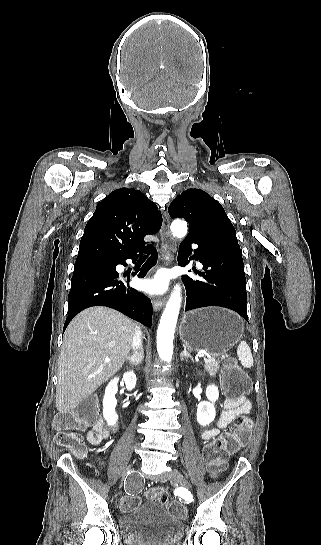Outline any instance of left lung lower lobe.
Listing matches in <instances>:
<instances>
[{"instance_id":"left-lung-lower-lobe-1","label":"left lung lower lobe","mask_w":321,"mask_h":545,"mask_svg":"<svg viewBox=\"0 0 321 545\" xmlns=\"http://www.w3.org/2000/svg\"><path fill=\"white\" fill-rule=\"evenodd\" d=\"M192 244L198 248L192 250ZM192 251L194 255L190 256ZM188 258L200 261L205 272L200 274L203 280L183 276L185 311L221 306L236 311L248 322L246 278L235 229L214 228L189 234L180 244L178 264L185 266Z\"/></svg>"}]
</instances>
